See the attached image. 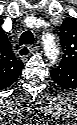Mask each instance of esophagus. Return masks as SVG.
I'll return each mask as SVG.
<instances>
[{"label": "esophagus", "mask_w": 77, "mask_h": 125, "mask_svg": "<svg viewBox=\"0 0 77 125\" xmlns=\"http://www.w3.org/2000/svg\"><path fill=\"white\" fill-rule=\"evenodd\" d=\"M34 51V47L32 45H23L18 49V55L20 57H27L31 55Z\"/></svg>", "instance_id": "esophagus-1"}]
</instances>
